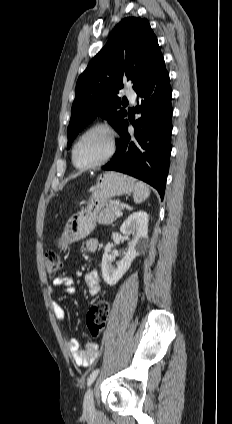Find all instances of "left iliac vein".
Returning <instances> with one entry per match:
<instances>
[{"label": "left iliac vein", "instance_id": "obj_1", "mask_svg": "<svg viewBox=\"0 0 232 424\" xmlns=\"http://www.w3.org/2000/svg\"><path fill=\"white\" fill-rule=\"evenodd\" d=\"M83 410L84 413L87 415L92 414L95 410L93 390L91 388L88 389L85 394Z\"/></svg>", "mask_w": 232, "mask_h": 424}]
</instances>
